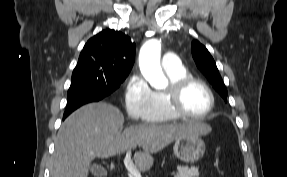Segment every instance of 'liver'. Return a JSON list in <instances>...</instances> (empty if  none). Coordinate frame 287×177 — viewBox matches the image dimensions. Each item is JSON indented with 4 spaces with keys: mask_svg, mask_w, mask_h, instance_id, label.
Instances as JSON below:
<instances>
[{
    "mask_svg": "<svg viewBox=\"0 0 287 177\" xmlns=\"http://www.w3.org/2000/svg\"><path fill=\"white\" fill-rule=\"evenodd\" d=\"M124 116L108 103L87 104L61 125L50 168L51 177H87L92 160L109 158L139 146L134 161L140 171L153 165L151 154L187 134H208L211 127L199 121L177 124H139L121 132Z\"/></svg>",
    "mask_w": 287,
    "mask_h": 177,
    "instance_id": "obj_1",
    "label": "liver"
}]
</instances>
